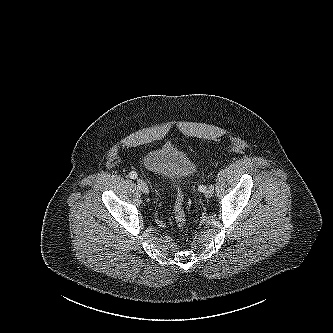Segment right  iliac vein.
<instances>
[{
	"label": "right iliac vein",
	"instance_id": "right-iliac-vein-1",
	"mask_svg": "<svg viewBox=\"0 0 333 333\" xmlns=\"http://www.w3.org/2000/svg\"><path fill=\"white\" fill-rule=\"evenodd\" d=\"M137 184L139 189L144 193V194H148L149 193V188L148 185L145 181H143L142 179H138L137 180Z\"/></svg>",
	"mask_w": 333,
	"mask_h": 333
}]
</instances>
